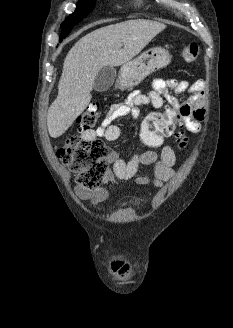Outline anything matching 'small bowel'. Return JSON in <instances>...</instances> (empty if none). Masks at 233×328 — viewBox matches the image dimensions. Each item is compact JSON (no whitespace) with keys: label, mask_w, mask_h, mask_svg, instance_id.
I'll use <instances>...</instances> for the list:
<instances>
[{"label":"small bowel","mask_w":233,"mask_h":328,"mask_svg":"<svg viewBox=\"0 0 233 328\" xmlns=\"http://www.w3.org/2000/svg\"><path fill=\"white\" fill-rule=\"evenodd\" d=\"M169 89H173L177 93L187 92L190 96L187 101L179 104L168 93ZM203 96V80H197L189 84L185 80L155 79L152 83V89L148 92L135 90L128 95L125 101L113 104L101 125L96 130L83 131L81 137L85 140H95L97 137H103L107 141H115L121 135L120 127L112 124L115 119L125 116L137 119L140 116L142 106L151 105L159 109L165 103L170 105V110H175L181 115L187 130L197 133L201 129V122L205 115ZM107 158L113 164V169L107 172L104 178L105 183H118L135 178L136 183L139 185L152 183L156 187H162L164 182L171 180L175 174L173 166L176 163V156L169 145L162 146L160 153L152 150L141 151L128 161L119 158L115 151H110ZM141 166H151V178L138 173ZM75 193L81 200H86L92 205L105 201L109 196V192L105 188L89 191L78 186L75 188ZM111 265L120 278H125L130 272L129 262L121 256L114 258Z\"/></svg>","instance_id":"obj_1"}]
</instances>
